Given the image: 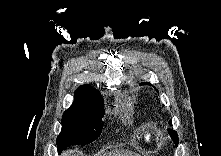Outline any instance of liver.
Segmentation results:
<instances>
[{
    "label": "liver",
    "instance_id": "obj_1",
    "mask_svg": "<svg viewBox=\"0 0 221 156\" xmlns=\"http://www.w3.org/2000/svg\"><path fill=\"white\" fill-rule=\"evenodd\" d=\"M63 156H79V153H75L74 151H67L63 154ZM104 156H139L137 153L128 150H115L105 154Z\"/></svg>",
    "mask_w": 221,
    "mask_h": 156
}]
</instances>
